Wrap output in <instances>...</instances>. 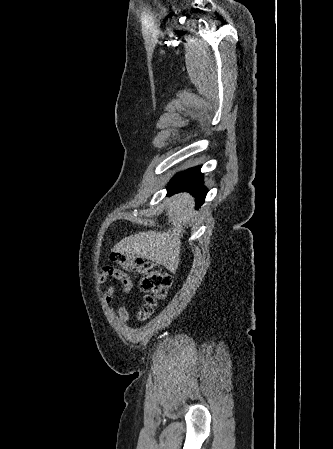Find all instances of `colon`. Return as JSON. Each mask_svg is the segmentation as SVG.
I'll return each instance as SVG.
<instances>
[{"instance_id": "5ec220e1", "label": "colon", "mask_w": 333, "mask_h": 449, "mask_svg": "<svg viewBox=\"0 0 333 449\" xmlns=\"http://www.w3.org/2000/svg\"><path fill=\"white\" fill-rule=\"evenodd\" d=\"M110 260L124 270L134 271L141 275L139 287L145 293V302L138 316L140 319H145L153 312L158 302L166 296L172 284L171 274L157 264L121 250L112 251Z\"/></svg>"}]
</instances>
